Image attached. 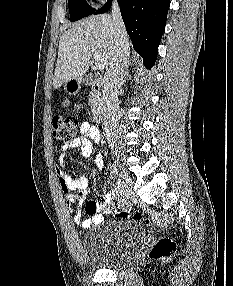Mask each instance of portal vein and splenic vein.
<instances>
[{"instance_id": "obj_1", "label": "portal vein and splenic vein", "mask_w": 233, "mask_h": 286, "mask_svg": "<svg viewBox=\"0 0 233 286\" xmlns=\"http://www.w3.org/2000/svg\"><path fill=\"white\" fill-rule=\"evenodd\" d=\"M93 57L95 60L96 68H98L99 70L104 69L105 63H104V59L101 57V55L98 52H96L93 54Z\"/></svg>"}]
</instances>
